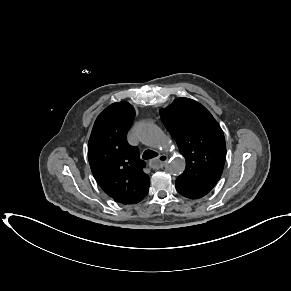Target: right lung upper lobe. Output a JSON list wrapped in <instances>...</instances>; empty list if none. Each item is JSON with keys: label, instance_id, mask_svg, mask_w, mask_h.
I'll list each match as a JSON object with an SVG mask.
<instances>
[{"label": "right lung upper lobe", "instance_id": "right-lung-upper-lobe-1", "mask_svg": "<svg viewBox=\"0 0 291 291\" xmlns=\"http://www.w3.org/2000/svg\"><path fill=\"white\" fill-rule=\"evenodd\" d=\"M135 116L128 102H116L97 117L88 144V159L94 178L116 202L135 204L148 193L149 176L137 147L126 135Z\"/></svg>", "mask_w": 291, "mask_h": 291}]
</instances>
